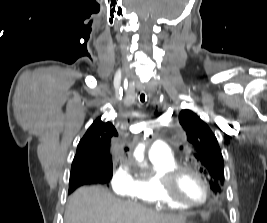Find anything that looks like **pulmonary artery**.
I'll return each mask as SVG.
<instances>
[{
    "instance_id": "1",
    "label": "pulmonary artery",
    "mask_w": 267,
    "mask_h": 223,
    "mask_svg": "<svg viewBox=\"0 0 267 223\" xmlns=\"http://www.w3.org/2000/svg\"><path fill=\"white\" fill-rule=\"evenodd\" d=\"M148 155L153 158L167 159L171 157V151L166 142L156 141L149 148Z\"/></svg>"
}]
</instances>
